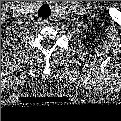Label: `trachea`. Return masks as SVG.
I'll use <instances>...</instances> for the list:
<instances>
[{
	"label": "trachea",
	"mask_w": 121,
	"mask_h": 121,
	"mask_svg": "<svg viewBox=\"0 0 121 121\" xmlns=\"http://www.w3.org/2000/svg\"><path fill=\"white\" fill-rule=\"evenodd\" d=\"M51 15V9L49 5L43 4L38 10V16L41 18H47Z\"/></svg>",
	"instance_id": "1"
}]
</instances>
